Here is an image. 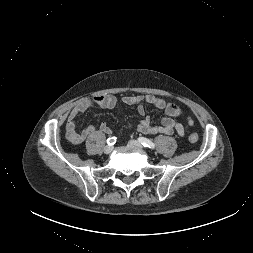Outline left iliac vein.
Segmentation results:
<instances>
[{"mask_svg": "<svg viewBox=\"0 0 253 253\" xmlns=\"http://www.w3.org/2000/svg\"><path fill=\"white\" fill-rule=\"evenodd\" d=\"M128 146L132 149L138 150V151H142L143 150V146L136 140H131L128 142Z\"/></svg>", "mask_w": 253, "mask_h": 253, "instance_id": "left-iliac-vein-1", "label": "left iliac vein"}]
</instances>
